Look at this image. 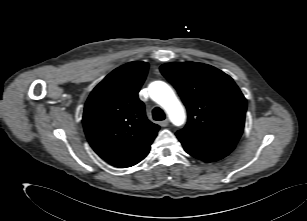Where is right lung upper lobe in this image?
Here are the masks:
<instances>
[{"mask_svg":"<svg viewBox=\"0 0 307 221\" xmlns=\"http://www.w3.org/2000/svg\"><path fill=\"white\" fill-rule=\"evenodd\" d=\"M148 63L122 65L91 92L83 113V126L93 150L115 167H128L147 150L159 126L150 122L138 92Z\"/></svg>","mask_w":307,"mask_h":221,"instance_id":"right-lung-upper-lobe-1","label":"right lung upper lobe"}]
</instances>
